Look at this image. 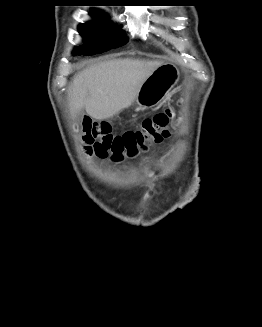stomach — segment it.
Listing matches in <instances>:
<instances>
[{"mask_svg": "<svg viewBox=\"0 0 262 327\" xmlns=\"http://www.w3.org/2000/svg\"><path fill=\"white\" fill-rule=\"evenodd\" d=\"M179 70L174 64L166 63L155 69L143 82L135 102L141 109L158 106L179 80Z\"/></svg>", "mask_w": 262, "mask_h": 327, "instance_id": "1", "label": "stomach"}]
</instances>
